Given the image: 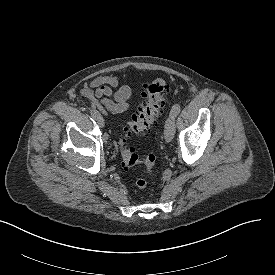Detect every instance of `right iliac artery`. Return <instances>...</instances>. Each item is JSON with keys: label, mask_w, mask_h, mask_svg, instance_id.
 Instances as JSON below:
<instances>
[{"label": "right iliac artery", "mask_w": 275, "mask_h": 275, "mask_svg": "<svg viewBox=\"0 0 275 275\" xmlns=\"http://www.w3.org/2000/svg\"><path fill=\"white\" fill-rule=\"evenodd\" d=\"M91 116L93 119H95L97 117V115L99 114V112L97 110H91Z\"/></svg>", "instance_id": "obj_1"}]
</instances>
